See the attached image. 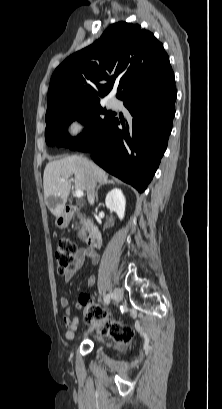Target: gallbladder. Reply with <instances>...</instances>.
<instances>
[{"instance_id": "gallbladder-1", "label": "gallbladder", "mask_w": 222, "mask_h": 409, "mask_svg": "<svg viewBox=\"0 0 222 409\" xmlns=\"http://www.w3.org/2000/svg\"><path fill=\"white\" fill-rule=\"evenodd\" d=\"M48 201H49V203H51V198H49V200H48Z\"/></svg>"}]
</instances>
